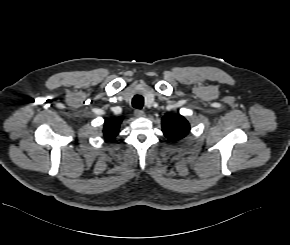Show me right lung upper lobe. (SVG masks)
Here are the masks:
<instances>
[{"label": "right lung upper lobe", "mask_w": 290, "mask_h": 245, "mask_svg": "<svg viewBox=\"0 0 290 245\" xmlns=\"http://www.w3.org/2000/svg\"><path fill=\"white\" fill-rule=\"evenodd\" d=\"M122 122V118H114L106 120L104 123L103 133L107 139H113L118 134V130L120 124Z\"/></svg>", "instance_id": "1"}]
</instances>
